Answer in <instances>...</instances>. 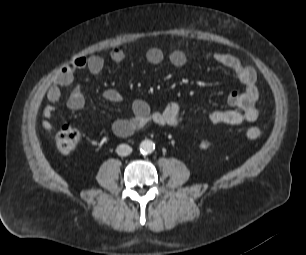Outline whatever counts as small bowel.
Returning <instances> with one entry per match:
<instances>
[{"label": "small bowel", "mask_w": 306, "mask_h": 255, "mask_svg": "<svg viewBox=\"0 0 306 255\" xmlns=\"http://www.w3.org/2000/svg\"><path fill=\"white\" fill-rule=\"evenodd\" d=\"M145 56L152 65H159L165 59L163 50L158 47L149 48ZM110 58L112 61L120 63L125 59V52L121 48H113L110 51ZM167 58L170 64L176 68H181L187 63V55L181 49L170 51ZM211 58L234 76L244 88L242 91H232L228 95V103L233 109L211 111L207 114V121L212 125H239L243 122L255 121L259 117V110L256 106L259 90L256 85L255 70L244 65L236 56L229 53H213ZM104 66L105 59L101 55L94 54L87 57H77L56 73L46 94L50 103L43 109L42 126L45 130L53 129L51 118L55 112V104L62 97L63 89H71L67 99L68 108L80 110L84 107L85 97L80 86L75 84V74L78 71L87 70L92 75H99ZM103 97L113 103L123 101L122 93L116 89L105 90ZM131 112V117L114 122L113 131L116 135L128 136L148 123H155L171 129L177 128L181 124L182 111L177 102L169 103L162 111H153L145 101L135 100L131 104Z\"/></svg>", "instance_id": "obj_1"}]
</instances>
